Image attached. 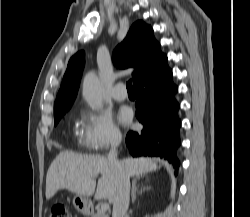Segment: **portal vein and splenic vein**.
<instances>
[{"instance_id":"portal-vein-and-splenic-vein-1","label":"portal vein and splenic vein","mask_w":250,"mask_h":217,"mask_svg":"<svg viewBox=\"0 0 250 217\" xmlns=\"http://www.w3.org/2000/svg\"><path fill=\"white\" fill-rule=\"evenodd\" d=\"M102 211L106 212L109 209L108 203H103L100 208Z\"/></svg>"}]
</instances>
